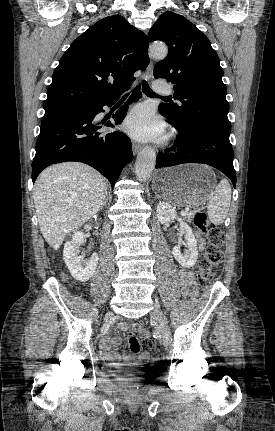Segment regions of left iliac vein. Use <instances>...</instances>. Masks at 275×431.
Instances as JSON below:
<instances>
[{"mask_svg": "<svg viewBox=\"0 0 275 431\" xmlns=\"http://www.w3.org/2000/svg\"><path fill=\"white\" fill-rule=\"evenodd\" d=\"M150 316L157 324V328L162 336L163 345L168 346L170 344L171 332L167 323V318L158 303L154 304Z\"/></svg>", "mask_w": 275, "mask_h": 431, "instance_id": "4c4485c4", "label": "left iliac vein"}]
</instances>
